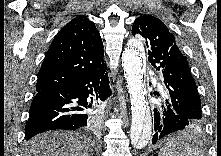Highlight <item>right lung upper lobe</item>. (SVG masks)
Wrapping results in <instances>:
<instances>
[{
    "label": "right lung upper lobe",
    "instance_id": "right-lung-upper-lobe-1",
    "mask_svg": "<svg viewBox=\"0 0 221 156\" xmlns=\"http://www.w3.org/2000/svg\"><path fill=\"white\" fill-rule=\"evenodd\" d=\"M105 65L103 43L95 24L80 15L51 43L40 68L36 92L58 90Z\"/></svg>",
    "mask_w": 221,
    "mask_h": 156
}]
</instances>
